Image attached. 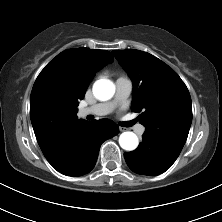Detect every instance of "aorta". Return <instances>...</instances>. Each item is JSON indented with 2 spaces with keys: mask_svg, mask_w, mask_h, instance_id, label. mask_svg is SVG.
I'll return each instance as SVG.
<instances>
[{
  "mask_svg": "<svg viewBox=\"0 0 222 222\" xmlns=\"http://www.w3.org/2000/svg\"><path fill=\"white\" fill-rule=\"evenodd\" d=\"M93 94L98 100H108L115 93V85L107 79H99L93 85ZM120 146L127 151H132L138 146V137L133 132H123L119 137Z\"/></svg>",
  "mask_w": 222,
  "mask_h": 222,
  "instance_id": "aorta-1",
  "label": "aorta"
}]
</instances>
